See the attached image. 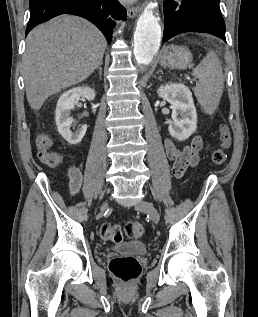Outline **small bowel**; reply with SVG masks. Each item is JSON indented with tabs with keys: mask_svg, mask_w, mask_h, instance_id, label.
I'll list each match as a JSON object with an SVG mask.
<instances>
[{
	"mask_svg": "<svg viewBox=\"0 0 258 317\" xmlns=\"http://www.w3.org/2000/svg\"><path fill=\"white\" fill-rule=\"evenodd\" d=\"M36 145L39 151L50 150L53 145L52 137L47 133H40L36 137ZM164 148L169 160L173 162V175L181 178L186 170L194 167L200 160L201 151L209 146L205 145L201 136H195L183 147L177 145L172 139L166 138ZM82 184V174L76 166L68 169V188L71 194H76Z\"/></svg>",
	"mask_w": 258,
	"mask_h": 317,
	"instance_id": "c3829d8e",
	"label": "small bowel"
}]
</instances>
